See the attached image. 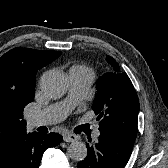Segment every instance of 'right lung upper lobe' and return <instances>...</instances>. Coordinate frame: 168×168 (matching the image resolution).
<instances>
[{
	"instance_id": "1",
	"label": "right lung upper lobe",
	"mask_w": 168,
	"mask_h": 168,
	"mask_svg": "<svg viewBox=\"0 0 168 168\" xmlns=\"http://www.w3.org/2000/svg\"><path fill=\"white\" fill-rule=\"evenodd\" d=\"M60 54L17 47L0 58V152L26 131L23 109L34 99L35 75Z\"/></svg>"
}]
</instances>
